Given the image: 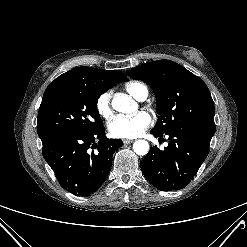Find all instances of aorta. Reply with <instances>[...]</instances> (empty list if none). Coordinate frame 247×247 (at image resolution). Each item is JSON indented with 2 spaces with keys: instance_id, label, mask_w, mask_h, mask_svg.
Listing matches in <instances>:
<instances>
[{
  "instance_id": "obj_1",
  "label": "aorta",
  "mask_w": 247,
  "mask_h": 247,
  "mask_svg": "<svg viewBox=\"0 0 247 247\" xmlns=\"http://www.w3.org/2000/svg\"><path fill=\"white\" fill-rule=\"evenodd\" d=\"M112 107L117 112L132 113L137 109V104L129 95L118 94L112 100ZM133 150L137 155H146L149 144L146 140H137L133 144Z\"/></svg>"
}]
</instances>
